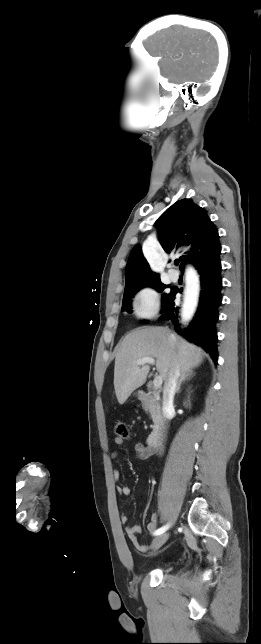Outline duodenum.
<instances>
[{"label": "duodenum", "mask_w": 261, "mask_h": 644, "mask_svg": "<svg viewBox=\"0 0 261 644\" xmlns=\"http://www.w3.org/2000/svg\"><path fill=\"white\" fill-rule=\"evenodd\" d=\"M137 397L140 401L149 405L152 419L154 422V429L148 437V445L151 448H157L161 445L165 429V416L158 398L147 391H139Z\"/></svg>", "instance_id": "obj_1"}]
</instances>
